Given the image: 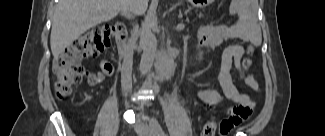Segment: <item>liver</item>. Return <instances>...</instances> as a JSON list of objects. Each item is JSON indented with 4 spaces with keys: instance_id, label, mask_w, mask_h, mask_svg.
<instances>
[{
    "instance_id": "liver-1",
    "label": "liver",
    "mask_w": 325,
    "mask_h": 136,
    "mask_svg": "<svg viewBox=\"0 0 325 136\" xmlns=\"http://www.w3.org/2000/svg\"><path fill=\"white\" fill-rule=\"evenodd\" d=\"M146 1H137L133 12L141 13ZM125 0H59L53 20L50 46L53 56L58 57L66 47L87 30L113 19L124 10Z\"/></svg>"
}]
</instances>
